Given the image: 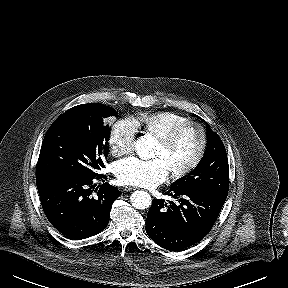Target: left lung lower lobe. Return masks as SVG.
Segmentation results:
<instances>
[{"label":"left lung lower lobe","mask_w":288,"mask_h":288,"mask_svg":"<svg viewBox=\"0 0 288 288\" xmlns=\"http://www.w3.org/2000/svg\"><path fill=\"white\" fill-rule=\"evenodd\" d=\"M175 202L153 199L146 218L148 236L163 248L178 251L203 239L213 227L225 200L200 191L171 188Z\"/></svg>","instance_id":"0a47b994"}]
</instances>
